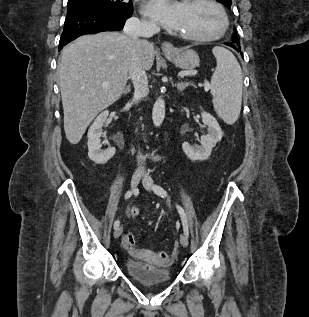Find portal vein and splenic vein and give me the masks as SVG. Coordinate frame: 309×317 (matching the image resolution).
I'll use <instances>...</instances> for the list:
<instances>
[{"label": "portal vein and splenic vein", "mask_w": 309, "mask_h": 317, "mask_svg": "<svg viewBox=\"0 0 309 317\" xmlns=\"http://www.w3.org/2000/svg\"><path fill=\"white\" fill-rule=\"evenodd\" d=\"M204 86H205V89H209V83L205 82Z\"/></svg>", "instance_id": "obj_1"}]
</instances>
